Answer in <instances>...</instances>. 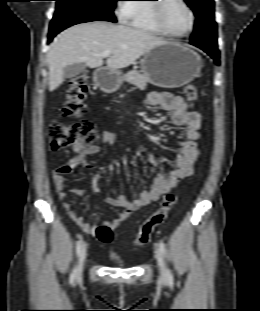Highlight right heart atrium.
Wrapping results in <instances>:
<instances>
[{
    "instance_id": "d8ad5b80",
    "label": "right heart atrium",
    "mask_w": 260,
    "mask_h": 311,
    "mask_svg": "<svg viewBox=\"0 0 260 311\" xmlns=\"http://www.w3.org/2000/svg\"><path fill=\"white\" fill-rule=\"evenodd\" d=\"M125 10H126V5L120 3V4L118 5L117 14H118V16H119L120 18H122V19H123V15H124Z\"/></svg>"
}]
</instances>
